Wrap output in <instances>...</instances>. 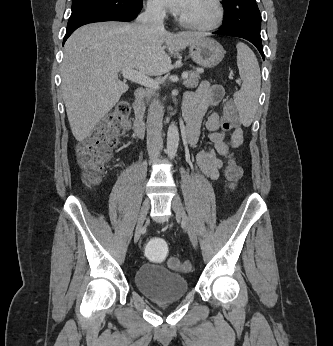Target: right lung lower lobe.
I'll use <instances>...</instances> for the list:
<instances>
[{
	"label": "right lung lower lobe",
	"mask_w": 333,
	"mask_h": 346,
	"mask_svg": "<svg viewBox=\"0 0 333 346\" xmlns=\"http://www.w3.org/2000/svg\"><path fill=\"white\" fill-rule=\"evenodd\" d=\"M141 8H142V2L140 3L138 8L126 14L91 13V14L81 16L67 25L66 34L63 39V44L77 28L85 24L94 23V22H103V21H131L134 18H136Z\"/></svg>",
	"instance_id": "right-lung-lower-lobe-1"
}]
</instances>
